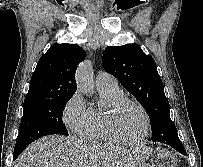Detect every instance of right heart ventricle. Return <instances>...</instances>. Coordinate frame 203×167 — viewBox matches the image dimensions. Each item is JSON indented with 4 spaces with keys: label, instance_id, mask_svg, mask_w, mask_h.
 I'll return each instance as SVG.
<instances>
[{
    "label": "right heart ventricle",
    "instance_id": "obj_1",
    "mask_svg": "<svg viewBox=\"0 0 203 167\" xmlns=\"http://www.w3.org/2000/svg\"><path fill=\"white\" fill-rule=\"evenodd\" d=\"M98 89L102 99V107L87 109V116L79 135L87 141L113 143L114 141L104 130L103 118L113 99L123 94L118 85L98 87Z\"/></svg>",
    "mask_w": 203,
    "mask_h": 167
}]
</instances>
